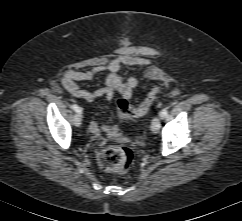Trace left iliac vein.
Listing matches in <instances>:
<instances>
[{"label":"left iliac vein","instance_id":"1","mask_svg":"<svg viewBox=\"0 0 242 221\" xmlns=\"http://www.w3.org/2000/svg\"><path fill=\"white\" fill-rule=\"evenodd\" d=\"M160 118L156 117L151 122V130L154 133H157L159 131V129H160Z\"/></svg>","mask_w":242,"mask_h":221}]
</instances>
